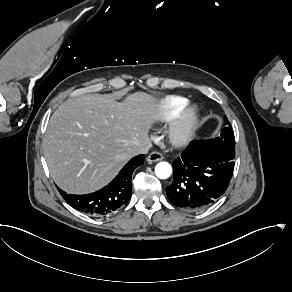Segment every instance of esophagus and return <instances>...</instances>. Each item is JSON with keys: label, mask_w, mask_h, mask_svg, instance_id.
I'll return each instance as SVG.
<instances>
[{"label": "esophagus", "mask_w": 292, "mask_h": 292, "mask_svg": "<svg viewBox=\"0 0 292 292\" xmlns=\"http://www.w3.org/2000/svg\"><path fill=\"white\" fill-rule=\"evenodd\" d=\"M162 159H163V154L157 151L151 152L147 157V161L150 163L157 162Z\"/></svg>", "instance_id": "obj_1"}]
</instances>
